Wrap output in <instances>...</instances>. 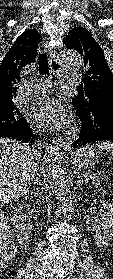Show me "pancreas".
Segmentation results:
<instances>
[{
  "instance_id": "cf45deb5",
  "label": "pancreas",
  "mask_w": 113,
  "mask_h": 279,
  "mask_svg": "<svg viewBox=\"0 0 113 279\" xmlns=\"http://www.w3.org/2000/svg\"><path fill=\"white\" fill-rule=\"evenodd\" d=\"M83 175L86 176V179H87V180L92 181L93 184H95V185H97V186L100 185V182H101V180H102V177L97 176V175H95V174H90V173H84Z\"/></svg>"
}]
</instances>
